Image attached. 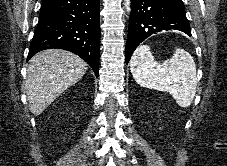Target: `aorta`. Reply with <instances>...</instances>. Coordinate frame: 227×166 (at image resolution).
I'll use <instances>...</instances> for the list:
<instances>
[{"label":"aorta","instance_id":"obj_1","mask_svg":"<svg viewBox=\"0 0 227 166\" xmlns=\"http://www.w3.org/2000/svg\"><path fill=\"white\" fill-rule=\"evenodd\" d=\"M126 8H127V11H130V0H126Z\"/></svg>","mask_w":227,"mask_h":166}]
</instances>
